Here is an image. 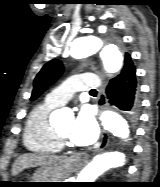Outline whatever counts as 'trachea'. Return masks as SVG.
<instances>
[{"label":"trachea","mask_w":160,"mask_h":187,"mask_svg":"<svg viewBox=\"0 0 160 187\" xmlns=\"http://www.w3.org/2000/svg\"><path fill=\"white\" fill-rule=\"evenodd\" d=\"M90 92H91V93H95V92H96V90H95V89H92V90H90Z\"/></svg>","instance_id":"1"}]
</instances>
